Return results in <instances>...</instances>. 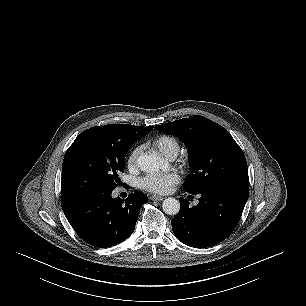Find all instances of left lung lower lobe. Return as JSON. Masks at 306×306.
Masks as SVG:
<instances>
[{"label": "left lung lower lobe", "instance_id": "0a47b994", "mask_svg": "<svg viewBox=\"0 0 306 306\" xmlns=\"http://www.w3.org/2000/svg\"><path fill=\"white\" fill-rule=\"evenodd\" d=\"M195 194L201 197L193 207H189L186 199L180 198V211L171 221L174 235L191 247L216 245L226 239L237 226L249 190L216 187Z\"/></svg>", "mask_w": 306, "mask_h": 306}]
</instances>
